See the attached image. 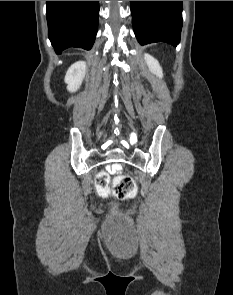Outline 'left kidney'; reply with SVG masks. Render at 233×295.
I'll list each match as a JSON object with an SVG mask.
<instances>
[{"instance_id":"obj_1","label":"left kidney","mask_w":233,"mask_h":295,"mask_svg":"<svg viewBox=\"0 0 233 295\" xmlns=\"http://www.w3.org/2000/svg\"><path fill=\"white\" fill-rule=\"evenodd\" d=\"M144 59L148 65L149 70L159 78H162L163 71L159 62L149 54H144Z\"/></svg>"}]
</instances>
